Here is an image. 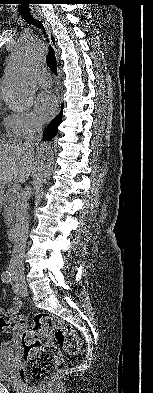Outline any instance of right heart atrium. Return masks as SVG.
<instances>
[{
	"instance_id": "right-heart-atrium-1",
	"label": "right heart atrium",
	"mask_w": 153,
	"mask_h": 393,
	"mask_svg": "<svg viewBox=\"0 0 153 393\" xmlns=\"http://www.w3.org/2000/svg\"><path fill=\"white\" fill-rule=\"evenodd\" d=\"M10 137L22 138L41 130V124L30 111L14 112L5 118Z\"/></svg>"
}]
</instances>
